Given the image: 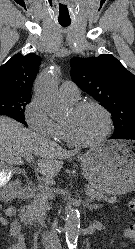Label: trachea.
Listing matches in <instances>:
<instances>
[{"mask_svg": "<svg viewBox=\"0 0 135 249\" xmlns=\"http://www.w3.org/2000/svg\"><path fill=\"white\" fill-rule=\"evenodd\" d=\"M60 25L63 27H68L70 25V23H60Z\"/></svg>", "mask_w": 135, "mask_h": 249, "instance_id": "3493384b", "label": "trachea"}]
</instances>
